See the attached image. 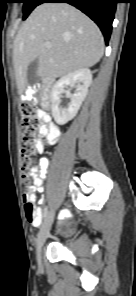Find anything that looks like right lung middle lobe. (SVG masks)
Returning a JSON list of instances; mask_svg holds the SVG:
<instances>
[{
    "instance_id": "1",
    "label": "right lung middle lobe",
    "mask_w": 136,
    "mask_h": 296,
    "mask_svg": "<svg viewBox=\"0 0 136 296\" xmlns=\"http://www.w3.org/2000/svg\"><path fill=\"white\" fill-rule=\"evenodd\" d=\"M43 0H20L23 3V19L25 20L31 11L42 3Z\"/></svg>"
}]
</instances>
